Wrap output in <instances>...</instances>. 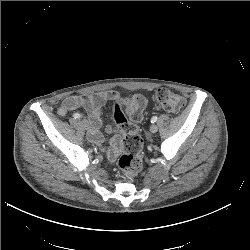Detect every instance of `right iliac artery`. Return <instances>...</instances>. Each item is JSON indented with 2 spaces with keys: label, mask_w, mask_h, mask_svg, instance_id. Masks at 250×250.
I'll return each mask as SVG.
<instances>
[{
  "label": "right iliac artery",
  "mask_w": 250,
  "mask_h": 250,
  "mask_svg": "<svg viewBox=\"0 0 250 250\" xmlns=\"http://www.w3.org/2000/svg\"><path fill=\"white\" fill-rule=\"evenodd\" d=\"M73 117H74L75 119H76V118L80 119V118H81V115L78 114V113H75V114H73Z\"/></svg>",
  "instance_id": "1"
}]
</instances>
